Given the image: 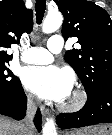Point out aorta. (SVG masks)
Listing matches in <instances>:
<instances>
[{
	"mask_svg": "<svg viewBox=\"0 0 112 135\" xmlns=\"http://www.w3.org/2000/svg\"><path fill=\"white\" fill-rule=\"evenodd\" d=\"M63 22V16L60 12L49 13L44 19L42 30L44 33H52L60 28ZM42 135H57L55 120L53 117L46 119L43 126Z\"/></svg>",
	"mask_w": 112,
	"mask_h": 135,
	"instance_id": "obj_1",
	"label": "aorta"
}]
</instances>
